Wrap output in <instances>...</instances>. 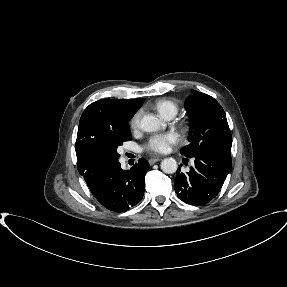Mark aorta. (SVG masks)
I'll return each mask as SVG.
<instances>
[{"mask_svg":"<svg viewBox=\"0 0 287 287\" xmlns=\"http://www.w3.org/2000/svg\"><path fill=\"white\" fill-rule=\"evenodd\" d=\"M140 127L145 132H155L160 129L161 121L153 115H146L141 119ZM160 166L161 170L167 174L175 173L178 168L176 160L172 158L164 159Z\"/></svg>","mask_w":287,"mask_h":287,"instance_id":"762f6f07","label":"aorta"}]
</instances>
